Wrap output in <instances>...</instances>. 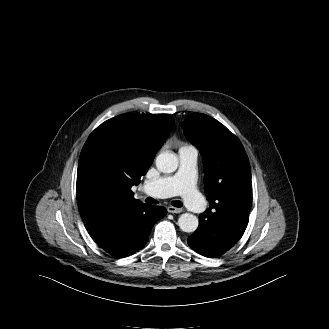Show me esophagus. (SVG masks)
Masks as SVG:
<instances>
[{
    "mask_svg": "<svg viewBox=\"0 0 329 329\" xmlns=\"http://www.w3.org/2000/svg\"><path fill=\"white\" fill-rule=\"evenodd\" d=\"M167 211L169 213H181L183 211V209L182 208H177V207H174V206H168Z\"/></svg>",
    "mask_w": 329,
    "mask_h": 329,
    "instance_id": "esophagus-1",
    "label": "esophagus"
}]
</instances>
